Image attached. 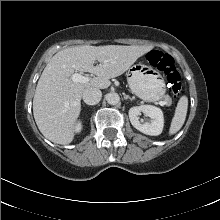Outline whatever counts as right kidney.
<instances>
[{"instance_id": "obj_1", "label": "right kidney", "mask_w": 220, "mask_h": 220, "mask_svg": "<svg viewBox=\"0 0 220 220\" xmlns=\"http://www.w3.org/2000/svg\"><path fill=\"white\" fill-rule=\"evenodd\" d=\"M81 129H82V125H81V123H78V124L75 126V131H76V132H80Z\"/></svg>"}]
</instances>
